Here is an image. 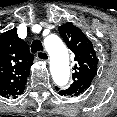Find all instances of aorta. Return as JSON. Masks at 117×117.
<instances>
[{"mask_svg": "<svg viewBox=\"0 0 117 117\" xmlns=\"http://www.w3.org/2000/svg\"><path fill=\"white\" fill-rule=\"evenodd\" d=\"M44 46L50 55V71L56 85L65 86L70 77L69 53L62 40L55 34L44 38Z\"/></svg>", "mask_w": 117, "mask_h": 117, "instance_id": "obj_1", "label": "aorta"}]
</instances>
